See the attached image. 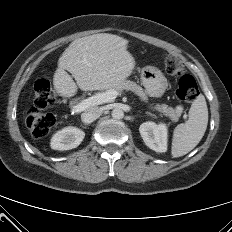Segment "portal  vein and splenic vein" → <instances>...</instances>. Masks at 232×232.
Segmentation results:
<instances>
[{"instance_id":"18ae733b","label":"portal vein and splenic vein","mask_w":232,"mask_h":232,"mask_svg":"<svg viewBox=\"0 0 232 232\" xmlns=\"http://www.w3.org/2000/svg\"><path fill=\"white\" fill-rule=\"evenodd\" d=\"M119 94L120 93L118 91H115V90H110V91H107L104 93H99V94L94 95L92 97H89V98L81 101L77 105L73 106L72 111H74L75 113H79V112H82V111L90 108L91 106L112 102L113 100H115V98ZM184 118H186V115L184 116Z\"/></svg>"}]
</instances>
